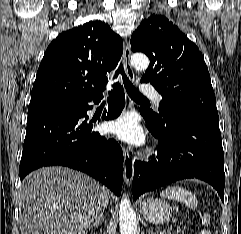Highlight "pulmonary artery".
Returning a JSON list of instances; mask_svg holds the SVG:
<instances>
[{"instance_id":"obj_1","label":"pulmonary artery","mask_w":241,"mask_h":234,"mask_svg":"<svg viewBox=\"0 0 241 234\" xmlns=\"http://www.w3.org/2000/svg\"><path fill=\"white\" fill-rule=\"evenodd\" d=\"M142 92L146 95H148L149 97L152 98L153 102L159 106L161 101H162V96L158 93V91L152 87V86H149V85H144L142 88H141Z\"/></svg>"}]
</instances>
